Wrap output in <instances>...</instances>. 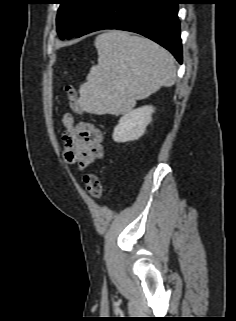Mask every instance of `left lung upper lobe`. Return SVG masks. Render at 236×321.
<instances>
[{
  "label": "left lung upper lobe",
  "instance_id": "left-lung-upper-lobe-1",
  "mask_svg": "<svg viewBox=\"0 0 236 321\" xmlns=\"http://www.w3.org/2000/svg\"><path fill=\"white\" fill-rule=\"evenodd\" d=\"M103 0H60L57 32L61 39L76 36Z\"/></svg>",
  "mask_w": 236,
  "mask_h": 321
}]
</instances>
